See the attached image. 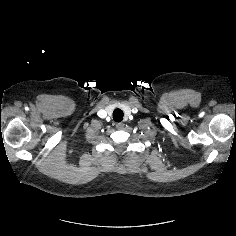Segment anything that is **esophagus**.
<instances>
[{"label":"esophagus","mask_w":236,"mask_h":236,"mask_svg":"<svg viewBox=\"0 0 236 236\" xmlns=\"http://www.w3.org/2000/svg\"><path fill=\"white\" fill-rule=\"evenodd\" d=\"M123 127H124V124L121 123V122L116 124V128H117L118 130L123 129Z\"/></svg>","instance_id":"1"}]
</instances>
